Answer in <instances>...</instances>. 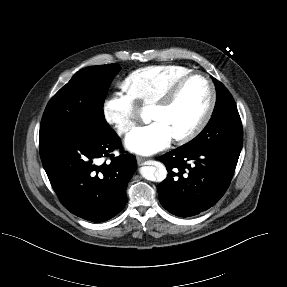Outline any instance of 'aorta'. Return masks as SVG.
Returning <instances> with one entry per match:
<instances>
[{
  "mask_svg": "<svg viewBox=\"0 0 287 287\" xmlns=\"http://www.w3.org/2000/svg\"><path fill=\"white\" fill-rule=\"evenodd\" d=\"M140 174L146 180L162 182L166 179L167 170L162 163H157L156 165L141 167Z\"/></svg>",
  "mask_w": 287,
  "mask_h": 287,
  "instance_id": "1",
  "label": "aorta"
}]
</instances>
